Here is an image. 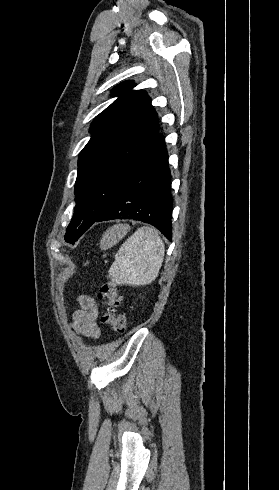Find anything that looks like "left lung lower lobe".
<instances>
[{"label":"left lung lower lobe","mask_w":279,"mask_h":490,"mask_svg":"<svg viewBox=\"0 0 279 490\" xmlns=\"http://www.w3.org/2000/svg\"><path fill=\"white\" fill-rule=\"evenodd\" d=\"M171 174L161 133L148 145L122 183L110 208L96 221L133 219L151 224L172 238Z\"/></svg>","instance_id":"left-lung-lower-lobe-1"}]
</instances>
